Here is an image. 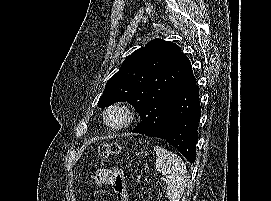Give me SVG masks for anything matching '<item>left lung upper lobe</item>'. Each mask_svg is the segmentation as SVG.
Here are the masks:
<instances>
[{"label":"left lung upper lobe","instance_id":"left-lung-upper-lobe-1","mask_svg":"<svg viewBox=\"0 0 271 201\" xmlns=\"http://www.w3.org/2000/svg\"><path fill=\"white\" fill-rule=\"evenodd\" d=\"M188 58L174 43L155 39L127 57L106 83L98 106L130 103L139 113L143 134L157 137L168 107L184 79Z\"/></svg>","mask_w":271,"mask_h":201}]
</instances>
